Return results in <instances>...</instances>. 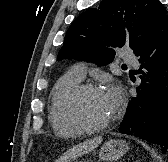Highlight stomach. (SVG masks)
<instances>
[{
    "instance_id": "obj_1",
    "label": "stomach",
    "mask_w": 168,
    "mask_h": 162,
    "mask_svg": "<svg viewBox=\"0 0 168 162\" xmlns=\"http://www.w3.org/2000/svg\"><path fill=\"white\" fill-rule=\"evenodd\" d=\"M128 151V145L123 140L112 139L104 143L99 152V158L106 161H114L121 158ZM81 162V161H69Z\"/></svg>"
}]
</instances>
